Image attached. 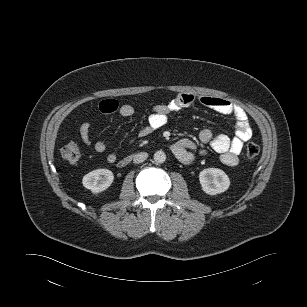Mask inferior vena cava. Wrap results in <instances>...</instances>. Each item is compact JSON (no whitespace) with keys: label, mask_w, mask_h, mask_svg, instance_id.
I'll list each match as a JSON object with an SVG mask.
<instances>
[{"label":"inferior vena cava","mask_w":307,"mask_h":307,"mask_svg":"<svg viewBox=\"0 0 307 307\" xmlns=\"http://www.w3.org/2000/svg\"><path fill=\"white\" fill-rule=\"evenodd\" d=\"M148 158V153L146 152H140L138 154H135L133 157V162L134 163H142Z\"/></svg>","instance_id":"1"}]
</instances>
